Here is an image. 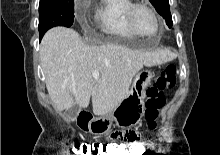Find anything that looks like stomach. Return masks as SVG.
I'll return each mask as SVG.
<instances>
[{
	"mask_svg": "<svg viewBox=\"0 0 220 155\" xmlns=\"http://www.w3.org/2000/svg\"><path fill=\"white\" fill-rule=\"evenodd\" d=\"M154 74L148 72L135 76L128 95L108 114L92 118L82 130L94 135H102L112 127L113 122L117 126H134L138 124L144 115L146 88L151 83Z\"/></svg>",
	"mask_w": 220,
	"mask_h": 155,
	"instance_id": "0dacf381",
	"label": "stomach"
}]
</instances>
